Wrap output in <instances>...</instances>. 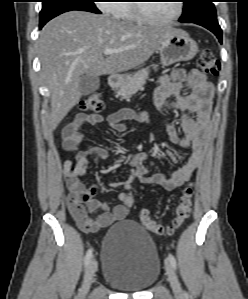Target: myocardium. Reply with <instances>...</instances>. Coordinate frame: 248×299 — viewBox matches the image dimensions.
<instances>
[{"label":"myocardium","instance_id":"myocardium-1","mask_svg":"<svg viewBox=\"0 0 248 299\" xmlns=\"http://www.w3.org/2000/svg\"><path fill=\"white\" fill-rule=\"evenodd\" d=\"M176 4H177V7H176L175 14L173 16H171L169 18H165V19L154 18V17L150 16L149 14H147L146 11L144 10L143 3H136L134 5V11H135L137 18L141 22L153 24V25H165V24L172 23L181 17V15L183 13V2L181 0H176Z\"/></svg>","mask_w":248,"mask_h":299}]
</instances>
